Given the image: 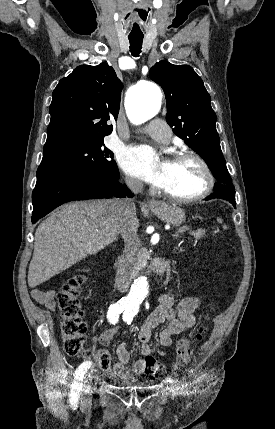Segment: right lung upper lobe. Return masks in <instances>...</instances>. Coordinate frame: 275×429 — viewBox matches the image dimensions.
Segmentation results:
<instances>
[{
  "label": "right lung upper lobe",
  "mask_w": 275,
  "mask_h": 429,
  "mask_svg": "<svg viewBox=\"0 0 275 429\" xmlns=\"http://www.w3.org/2000/svg\"><path fill=\"white\" fill-rule=\"evenodd\" d=\"M122 87L107 63L78 66L61 79L52 94L44 153L111 134L113 126L107 121L117 119Z\"/></svg>",
  "instance_id": "cb5924a9"
}]
</instances>
